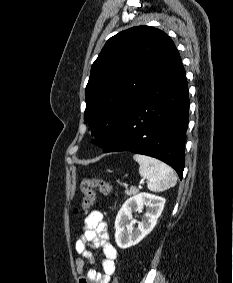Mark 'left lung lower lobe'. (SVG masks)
Listing matches in <instances>:
<instances>
[{"instance_id":"0a47b994","label":"left lung lower lobe","mask_w":233,"mask_h":283,"mask_svg":"<svg viewBox=\"0 0 233 283\" xmlns=\"http://www.w3.org/2000/svg\"><path fill=\"white\" fill-rule=\"evenodd\" d=\"M188 110L186 74L174 47L147 80L131 114L105 152L128 150L155 157L182 178Z\"/></svg>"}]
</instances>
